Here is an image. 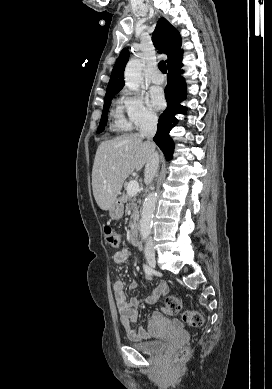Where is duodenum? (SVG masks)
Listing matches in <instances>:
<instances>
[{
  "mask_svg": "<svg viewBox=\"0 0 272 389\" xmlns=\"http://www.w3.org/2000/svg\"><path fill=\"white\" fill-rule=\"evenodd\" d=\"M129 237H130L131 243L134 246L139 247L141 245L139 231H138V227L136 224L131 228L130 233H129Z\"/></svg>",
  "mask_w": 272,
  "mask_h": 389,
  "instance_id": "obj_1",
  "label": "duodenum"
}]
</instances>
